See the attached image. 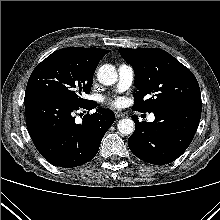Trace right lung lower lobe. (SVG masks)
Here are the masks:
<instances>
[{"mask_svg": "<svg viewBox=\"0 0 220 220\" xmlns=\"http://www.w3.org/2000/svg\"><path fill=\"white\" fill-rule=\"evenodd\" d=\"M24 101L26 125L35 147L59 167L72 168L92 160L115 120L111 110L98 108L91 115L87 113L82 124H76L72 113L97 107L91 100L75 105L56 96L34 93L25 94Z\"/></svg>", "mask_w": 220, "mask_h": 220, "instance_id": "right-lung-lower-lobe-1", "label": "right lung lower lobe"}]
</instances>
